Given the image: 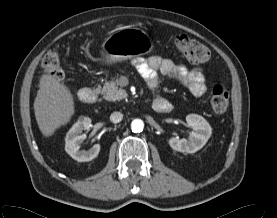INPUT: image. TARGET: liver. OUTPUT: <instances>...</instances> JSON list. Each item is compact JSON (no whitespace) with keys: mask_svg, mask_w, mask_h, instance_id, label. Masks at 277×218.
I'll return each instance as SVG.
<instances>
[{"mask_svg":"<svg viewBox=\"0 0 277 218\" xmlns=\"http://www.w3.org/2000/svg\"><path fill=\"white\" fill-rule=\"evenodd\" d=\"M34 112L41 133L48 137L73 116L74 99L70 90L55 77L44 74L34 101Z\"/></svg>","mask_w":277,"mask_h":218,"instance_id":"6515ba94","label":"liver"}]
</instances>
